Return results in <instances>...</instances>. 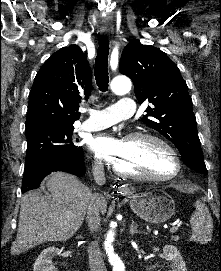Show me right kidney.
Wrapping results in <instances>:
<instances>
[{"instance_id":"1","label":"right kidney","mask_w":221,"mask_h":271,"mask_svg":"<svg viewBox=\"0 0 221 271\" xmlns=\"http://www.w3.org/2000/svg\"><path fill=\"white\" fill-rule=\"evenodd\" d=\"M60 253L61 249H59V247H55V245L42 249L37 259H35V263H33V271H56V267L53 265L52 259L55 255H60Z\"/></svg>"}]
</instances>
